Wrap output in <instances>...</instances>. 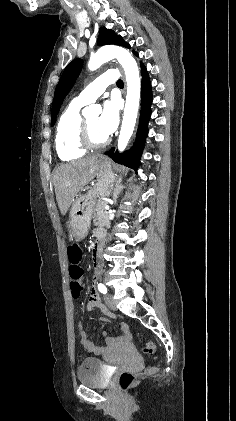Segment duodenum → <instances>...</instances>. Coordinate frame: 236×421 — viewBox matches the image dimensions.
I'll return each instance as SVG.
<instances>
[{
  "mask_svg": "<svg viewBox=\"0 0 236 421\" xmlns=\"http://www.w3.org/2000/svg\"><path fill=\"white\" fill-rule=\"evenodd\" d=\"M95 236H96V243L94 244L93 247V261H94V267L97 271H100L101 267H102V260H101V251H102V247L105 243V239H106V232L103 228H97L95 231ZM128 335V331L124 330V334L122 336V338H126ZM83 342L85 344L86 347H88L91 350L94 351H100L101 348L95 346L93 343H91L90 341H88L86 338L83 339Z\"/></svg>",
  "mask_w": 236,
  "mask_h": 421,
  "instance_id": "1",
  "label": "duodenum"
}]
</instances>
